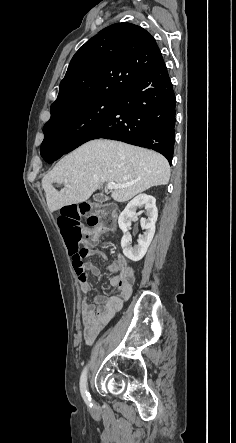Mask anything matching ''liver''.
Here are the masks:
<instances>
[{
    "label": "liver",
    "mask_w": 236,
    "mask_h": 443,
    "mask_svg": "<svg viewBox=\"0 0 236 443\" xmlns=\"http://www.w3.org/2000/svg\"><path fill=\"white\" fill-rule=\"evenodd\" d=\"M170 166L161 154L123 142L97 139L89 141L60 160L42 179L50 212L90 198L105 182L125 185L111 198L126 202L153 187L166 185ZM68 184L57 191L53 184Z\"/></svg>",
    "instance_id": "6515ba94"
}]
</instances>
